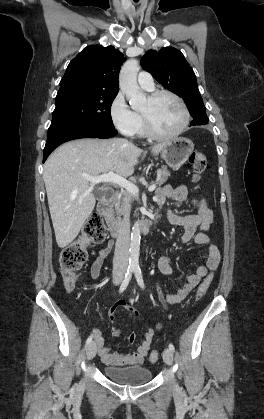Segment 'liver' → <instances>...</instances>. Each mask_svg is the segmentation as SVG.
I'll list each match as a JSON object with an SVG mask.
<instances>
[{
	"mask_svg": "<svg viewBox=\"0 0 264 419\" xmlns=\"http://www.w3.org/2000/svg\"><path fill=\"white\" fill-rule=\"evenodd\" d=\"M164 146H153L152 153L159 154ZM142 152L122 138L80 139L63 144L50 155L43 179L60 248L77 237L95 207L90 181L83 175L95 177L114 171L123 177L131 176Z\"/></svg>",
	"mask_w": 264,
	"mask_h": 419,
	"instance_id": "1",
	"label": "liver"
}]
</instances>
